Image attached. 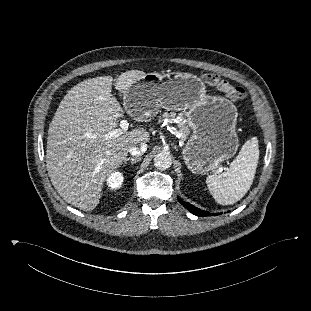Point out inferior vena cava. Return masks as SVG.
Masks as SVG:
<instances>
[{"label":"inferior vena cava","instance_id":"1","mask_svg":"<svg viewBox=\"0 0 311 311\" xmlns=\"http://www.w3.org/2000/svg\"><path fill=\"white\" fill-rule=\"evenodd\" d=\"M146 150H147V144L146 143H142L140 145V147H136V146L131 147L130 150H129V153L132 156H140L143 153H145Z\"/></svg>","mask_w":311,"mask_h":311}]
</instances>
